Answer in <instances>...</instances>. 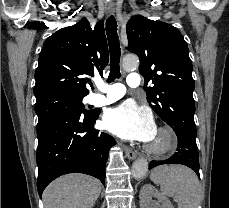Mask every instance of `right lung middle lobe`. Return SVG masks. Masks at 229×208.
<instances>
[{
  "instance_id": "obj_1",
  "label": "right lung middle lobe",
  "mask_w": 229,
  "mask_h": 208,
  "mask_svg": "<svg viewBox=\"0 0 229 208\" xmlns=\"http://www.w3.org/2000/svg\"><path fill=\"white\" fill-rule=\"evenodd\" d=\"M83 97L52 96L35 104V112L38 115L37 129L48 123L53 118L66 112H86L82 105Z\"/></svg>"
}]
</instances>
